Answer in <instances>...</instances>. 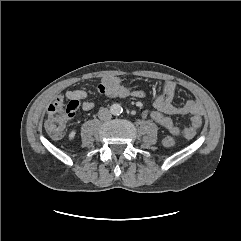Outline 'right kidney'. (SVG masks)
<instances>
[{"label": "right kidney", "instance_id": "ca27d5eb", "mask_svg": "<svg viewBox=\"0 0 241 241\" xmlns=\"http://www.w3.org/2000/svg\"><path fill=\"white\" fill-rule=\"evenodd\" d=\"M75 135H76V130H72L70 133H69V140H73L75 138Z\"/></svg>", "mask_w": 241, "mask_h": 241}]
</instances>
